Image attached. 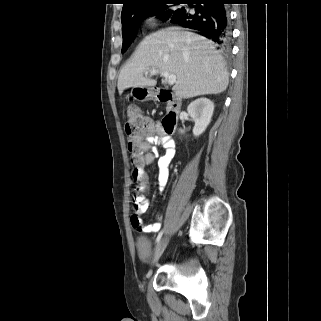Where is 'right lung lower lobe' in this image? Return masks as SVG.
Wrapping results in <instances>:
<instances>
[{
    "instance_id": "right-lung-lower-lobe-1",
    "label": "right lung lower lobe",
    "mask_w": 321,
    "mask_h": 321,
    "mask_svg": "<svg viewBox=\"0 0 321 321\" xmlns=\"http://www.w3.org/2000/svg\"><path fill=\"white\" fill-rule=\"evenodd\" d=\"M229 0H188L186 3L194 9L182 7L172 14L169 22L198 30L203 36L222 47L229 42L228 12L225 4Z\"/></svg>"
}]
</instances>
